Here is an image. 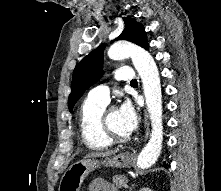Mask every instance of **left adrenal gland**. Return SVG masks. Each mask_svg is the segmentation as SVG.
<instances>
[{
	"instance_id": "obj_1",
	"label": "left adrenal gland",
	"mask_w": 221,
	"mask_h": 191,
	"mask_svg": "<svg viewBox=\"0 0 221 191\" xmlns=\"http://www.w3.org/2000/svg\"><path fill=\"white\" fill-rule=\"evenodd\" d=\"M135 184H132V186L130 187L129 191H132V189L134 188Z\"/></svg>"
}]
</instances>
